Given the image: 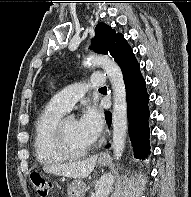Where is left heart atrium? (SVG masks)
Masks as SVG:
<instances>
[{
  "instance_id": "1",
  "label": "left heart atrium",
  "mask_w": 191,
  "mask_h": 197,
  "mask_svg": "<svg viewBox=\"0 0 191 197\" xmlns=\"http://www.w3.org/2000/svg\"><path fill=\"white\" fill-rule=\"evenodd\" d=\"M81 137L88 143L96 141L103 127L102 114L95 106H88L77 121Z\"/></svg>"
}]
</instances>
